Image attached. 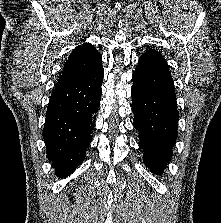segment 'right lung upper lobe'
<instances>
[{"mask_svg": "<svg viewBox=\"0 0 221 223\" xmlns=\"http://www.w3.org/2000/svg\"><path fill=\"white\" fill-rule=\"evenodd\" d=\"M101 63L102 57L93 45L87 43L76 47L66 61L56 87L82 79L102 65Z\"/></svg>", "mask_w": 221, "mask_h": 223, "instance_id": "cb5924a9", "label": "right lung upper lobe"}]
</instances>
